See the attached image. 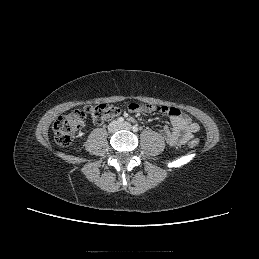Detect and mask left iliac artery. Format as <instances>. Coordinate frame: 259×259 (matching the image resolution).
Wrapping results in <instances>:
<instances>
[{
  "instance_id": "1",
  "label": "left iliac artery",
  "mask_w": 259,
  "mask_h": 259,
  "mask_svg": "<svg viewBox=\"0 0 259 259\" xmlns=\"http://www.w3.org/2000/svg\"><path fill=\"white\" fill-rule=\"evenodd\" d=\"M132 130H133L134 132H137V131H138L137 125H134V126L132 127Z\"/></svg>"
}]
</instances>
